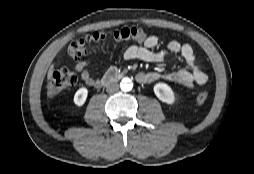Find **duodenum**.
Masks as SVG:
<instances>
[{"label":"duodenum","mask_w":254,"mask_h":174,"mask_svg":"<svg viewBox=\"0 0 254 174\" xmlns=\"http://www.w3.org/2000/svg\"><path fill=\"white\" fill-rule=\"evenodd\" d=\"M122 73L118 69L109 70L102 79V85L107 86L122 78Z\"/></svg>","instance_id":"1"}]
</instances>
